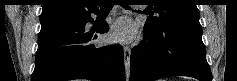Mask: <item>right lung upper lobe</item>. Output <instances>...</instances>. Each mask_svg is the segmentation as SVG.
I'll list each match as a JSON object with an SVG mask.
<instances>
[{
    "mask_svg": "<svg viewBox=\"0 0 237 81\" xmlns=\"http://www.w3.org/2000/svg\"><path fill=\"white\" fill-rule=\"evenodd\" d=\"M40 22L67 19L82 16L98 10L92 0H43Z\"/></svg>",
    "mask_w": 237,
    "mask_h": 81,
    "instance_id": "right-lung-upper-lobe-1",
    "label": "right lung upper lobe"
}]
</instances>
